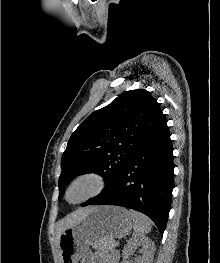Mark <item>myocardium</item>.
<instances>
[{
    "label": "myocardium",
    "mask_w": 220,
    "mask_h": 263,
    "mask_svg": "<svg viewBox=\"0 0 220 263\" xmlns=\"http://www.w3.org/2000/svg\"><path fill=\"white\" fill-rule=\"evenodd\" d=\"M89 182L91 187L89 191L83 196L72 199L71 194L73 190L81 183ZM107 186V178L106 176L98 171H85L78 175H76L68 184L65 191V200L72 205H77L84 203L88 200L95 198L100 195Z\"/></svg>",
    "instance_id": "myocardium-1"
}]
</instances>
